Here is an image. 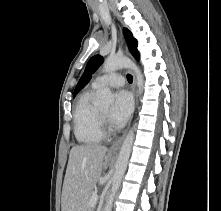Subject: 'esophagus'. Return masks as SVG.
<instances>
[{"label":"esophagus","instance_id":"obj_1","mask_svg":"<svg viewBox=\"0 0 221 211\" xmlns=\"http://www.w3.org/2000/svg\"><path fill=\"white\" fill-rule=\"evenodd\" d=\"M132 90H133V94H134V97L136 96V79H135V76L133 75V85H132ZM126 133H127V130L123 133V135L121 137H119L117 140H115L113 142V144L111 145L110 149H109V152L110 153H116L119 149H120V146L126 136Z\"/></svg>","mask_w":221,"mask_h":211}]
</instances>
